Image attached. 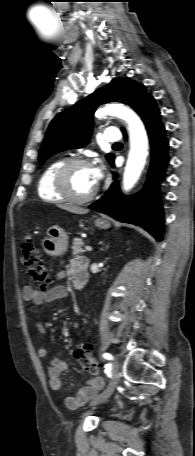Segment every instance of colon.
I'll return each mask as SVG.
<instances>
[{
  "label": "colon",
  "mask_w": 195,
  "mask_h": 456,
  "mask_svg": "<svg viewBox=\"0 0 195 456\" xmlns=\"http://www.w3.org/2000/svg\"><path fill=\"white\" fill-rule=\"evenodd\" d=\"M23 261L33 281L45 290L49 285L47 267L43 255L36 248L30 238H26L22 244ZM74 357L81 369L95 375L98 373V365L92 354V347L89 343L80 341L74 351Z\"/></svg>",
  "instance_id": "1"
}]
</instances>
